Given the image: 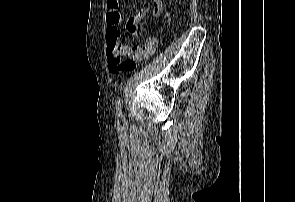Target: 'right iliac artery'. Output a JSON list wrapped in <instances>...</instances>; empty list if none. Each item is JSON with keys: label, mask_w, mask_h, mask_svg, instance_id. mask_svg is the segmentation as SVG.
<instances>
[{"label": "right iliac artery", "mask_w": 295, "mask_h": 202, "mask_svg": "<svg viewBox=\"0 0 295 202\" xmlns=\"http://www.w3.org/2000/svg\"><path fill=\"white\" fill-rule=\"evenodd\" d=\"M116 109H117L118 116H122V112H121V100L120 99L117 101Z\"/></svg>", "instance_id": "1"}]
</instances>
